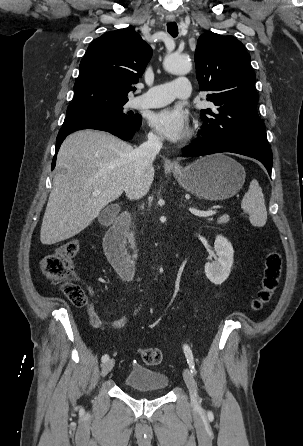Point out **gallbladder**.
I'll list each match as a JSON object with an SVG mask.
<instances>
[{"label": "gallbladder", "instance_id": "1", "mask_svg": "<svg viewBox=\"0 0 303 446\" xmlns=\"http://www.w3.org/2000/svg\"><path fill=\"white\" fill-rule=\"evenodd\" d=\"M104 218H105V213H102V214L100 215L99 219H100V220H104Z\"/></svg>", "mask_w": 303, "mask_h": 446}]
</instances>
